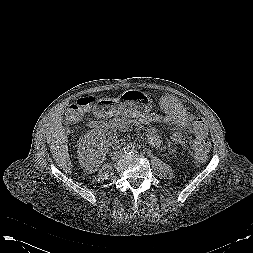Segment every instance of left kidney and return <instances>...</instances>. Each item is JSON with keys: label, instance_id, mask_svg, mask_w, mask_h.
<instances>
[{"label": "left kidney", "instance_id": "1", "mask_svg": "<svg viewBox=\"0 0 253 253\" xmlns=\"http://www.w3.org/2000/svg\"><path fill=\"white\" fill-rule=\"evenodd\" d=\"M157 131L154 128L147 129V136L148 138L153 141L156 145L161 143L159 135L156 133Z\"/></svg>", "mask_w": 253, "mask_h": 253}]
</instances>
